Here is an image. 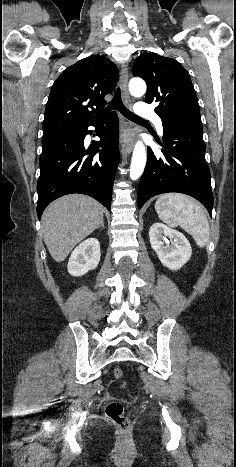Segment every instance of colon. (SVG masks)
Listing matches in <instances>:
<instances>
[{
    "mask_svg": "<svg viewBox=\"0 0 236 467\" xmlns=\"http://www.w3.org/2000/svg\"><path fill=\"white\" fill-rule=\"evenodd\" d=\"M113 374L116 379L122 382L123 386H126L122 369L115 368ZM106 416L110 421L116 424L123 433H127L131 429V422L126 417L124 405L121 402H112L108 404L106 407Z\"/></svg>",
    "mask_w": 236,
    "mask_h": 467,
    "instance_id": "obj_1",
    "label": "colon"
}]
</instances>
